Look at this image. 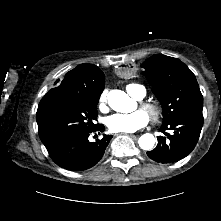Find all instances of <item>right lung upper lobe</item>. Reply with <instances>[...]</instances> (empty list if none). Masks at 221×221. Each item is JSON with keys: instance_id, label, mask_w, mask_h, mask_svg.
<instances>
[{"instance_id": "1", "label": "right lung upper lobe", "mask_w": 221, "mask_h": 221, "mask_svg": "<svg viewBox=\"0 0 221 221\" xmlns=\"http://www.w3.org/2000/svg\"><path fill=\"white\" fill-rule=\"evenodd\" d=\"M104 83L105 76L97 66L80 64L66 73L61 84L49 90L41 101L47 98H90L102 93Z\"/></svg>"}]
</instances>
